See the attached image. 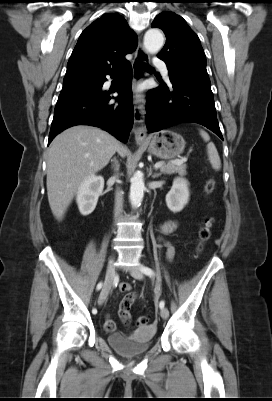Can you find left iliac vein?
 I'll use <instances>...</instances> for the list:
<instances>
[{
  "label": "left iliac vein",
  "mask_w": 272,
  "mask_h": 401,
  "mask_svg": "<svg viewBox=\"0 0 272 401\" xmlns=\"http://www.w3.org/2000/svg\"><path fill=\"white\" fill-rule=\"evenodd\" d=\"M130 274H131L132 277H134L135 279H138V280H141V279H143V277H144L142 271H141L138 267H133V268H131ZM160 316H161L163 319H167L168 316H169V311H168V309H166V308H161V309H160Z\"/></svg>",
  "instance_id": "obj_1"
}]
</instances>
